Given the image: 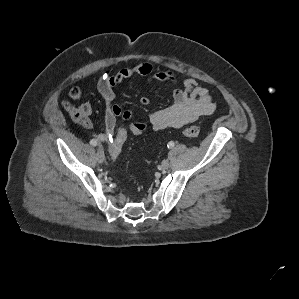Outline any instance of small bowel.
Segmentation results:
<instances>
[{"label": "small bowel", "instance_id": "small-bowel-1", "mask_svg": "<svg viewBox=\"0 0 299 299\" xmlns=\"http://www.w3.org/2000/svg\"><path fill=\"white\" fill-rule=\"evenodd\" d=\"M135 75L144 78V84L150 86L154 83H165L174 87L173 102L171 105L152 112L149 121L152 128L156 131L167 128H180L188 123L198 120L202 116H208L214 113L216 105L207 88L199 86L194 78H188L184 81L183 87L177 86L176 75L168 70L154 71L152 65L148 62L137 64L133 67H126L114 75H106L100 78L97 88L105 104V128L104 133L97 135L101 142L111 141V136L117 127L118 118L130 120L132 112L124 110L121 106L114 104V88ZM83 92L80 87H72L69 91V97L78 101L82 98ZM142 105L149 104V98L146 95L140 97ZM84 107L91 113V105L84 103ZM146 128L142 121H134ZM87 126H90L87 125Z\"/></svg>", "mask_w": 299, "mask_h": 299}]
</instances>
